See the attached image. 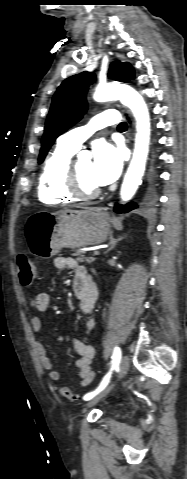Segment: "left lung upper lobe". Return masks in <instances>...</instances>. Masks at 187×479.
<instances>
[{"label":"left lung upper lobe","instance_id":"1","mask_svg":"<svg viewBox=\"0 0 187 479\" xmlns=\"http://www.w3.org/2000/svg\"><path fill=\"white\" fill-rule=\"evenodd\" d=\"M109 78L128 82L134 78V69L128 62H113ZM95 80L93 73L82 72L64 80L54 94L46 120L39 163H42L55 139L78 122L87 110L86 93Z\"/></svg>","mask_w":187,"mask_h":479}]
</instances>
